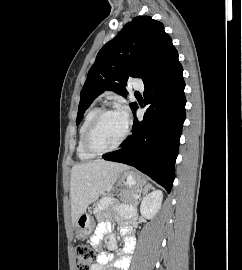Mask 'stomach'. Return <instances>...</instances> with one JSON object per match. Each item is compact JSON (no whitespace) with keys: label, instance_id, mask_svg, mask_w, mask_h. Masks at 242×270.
Wrapping results in <instances>:
<instances>
[{"label":"stomach","instance_id":"obj_1","mask_svg":"<svg viewBox=\"0 0 242 270\" xmlns=\"http://www.w3.org/2000/svg\"><path fill=\"white\" fill-rule=\"evenodd\" d=\"M119 182L130 191L138 193L145 185V179L135 171L126 170L119 176ZM93 220L87 213H83L74 224L75 236L79 240H85L91 234Z\"/></svg>","mask_w":242,"mask_h":270}]
</instances>
